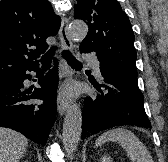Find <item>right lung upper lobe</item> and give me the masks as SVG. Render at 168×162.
Returning a JSON list of instances; mask_svg holds the SVG:
<instances>
[{"label":"right lung upper lobe","instance_id":"1","mask_svg":"<svg viewBox=\"0 0 168 162\" xmlns=\"http://www.w3.org/2000/svg\"><path fill=\"white\" fill-rule=\"evenodd\" d=\"M60 24L47 0H0V79L37 66Z\"/></svg>","mask_w":168,"mask_h":162}]
</instances>
